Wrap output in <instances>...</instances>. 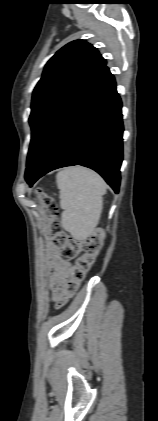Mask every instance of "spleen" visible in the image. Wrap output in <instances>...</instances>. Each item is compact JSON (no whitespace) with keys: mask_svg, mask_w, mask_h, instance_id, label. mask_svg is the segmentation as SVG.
Masks as SVG:
<instances>
[{"mask_svg":"<svg viewBox=\"0 0 158 421\" xmlns=\"http://www.w3.org/2000/svg\"><path fill=\"white\" fill-rule=\"evenodd\" d=\"M62 227L77 239L86 238L96 227L102 211V196L106 184L96 172L81 167H69L58 172Z\"/></svg>","mask_w":158,"mask_h":421,"instance_id":"obj_1","label":"spleen"}]
</instances>
